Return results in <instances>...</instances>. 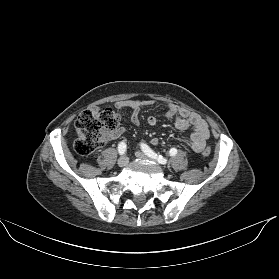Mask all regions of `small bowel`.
<instances>
[{
  "mask_svg": "<svg viewBox=\"0 0 279 279\" xmlns=\"http://www.w3.org/2000/svg\"><path fill=\"white\" fill-rule=\"evenodd\" d=\"M155 103L153 100H121L116 103L119 109H129L132 111L131 121L135 125H139V113L146 107ZM166 117L174 119V125L179 130H187L192 127L189 138L184 140V143L193 151L201 152L206 147V141L210 136L208 124L199 115L190 112L184 108H179L174 104H169L165 108ZM147 123L150 126L157 124L155 116H149ZM124 132V129L115 130L110 137H118ZM158 139H152V144L156 145Z\"/></svg>",
  "mask_w": 279,
  "mask_h": 279,
  "instance_id": "1",
  "label": "small bowel"
}]
</instances>
